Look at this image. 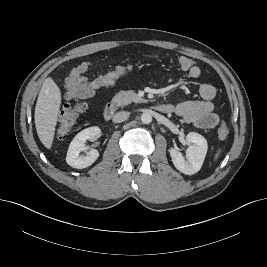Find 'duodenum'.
Returning a JSON list of instances; mask_svg holds the SVG:
<instances>
[{
    "label": "duodenum",
    "mask_w": 267,
    "mask_h": 267,
    "mask_svg": "<svg viewBox=\"0 0 267 267\" xmlns=\"http://www.w3.org/2000/svg\"><path fill=\"white\" fill-rule=\"evenodd\" d=\"M117 108L118 106L116 102H109L104 108V118L107 120L111 119L116 113ZM156 109L161 113H171L173 107L170 104H157Z\"/></svg>",
    "instance_id": "1"
}]
</instances>
